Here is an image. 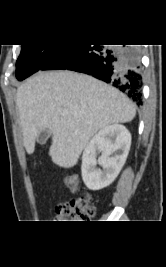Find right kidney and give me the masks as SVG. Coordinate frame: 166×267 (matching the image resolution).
<instances>
[{
	"mask_svg": "<svg viewBox=\"0 0 166 267\" xmlns=\"http://www.w3.org/2000/svg\"><path fill=\"white\" fill-rule=\"evenodd\" d=\"M131 134L125 126L114 124L101 129L88 143L82 155V179L91 190L110 185L128 156ZM101 156L97 159V154ZM114 154V156H112ZM99 164L103 169H98Z\"/></svg>",
	"mask_w": 166,
	"mask_h": 267,
	"instance_id": "1",
	"label": "right kidney"
}]
</instances>
